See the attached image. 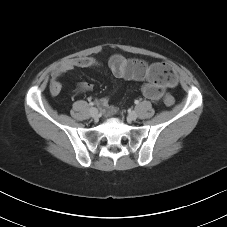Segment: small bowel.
I'll return each instance as SVG.
<instances>
[{"label": "small bowel", "mask_w": 227, "mask_h": 227, "mask_svg": "<svg viewBox=\"0 0 227 227\" xmlns=\"http://www.w3.org/2000/svg\"><path fill=\"white\" fill-rule=\"evenodd\" d=\"M99 65L100 63L95 58L88 56L76 57L61 64L51 73V93L53 95L59 94L61 90L60 78L65 73L76 68H93ZM108 67L115 78L142 82V94L152 101H159L164 90L173 85L161 80L151 64H147L139 59L114 55L110 58ZM77 89L79 92H86L92 89V85L89 83H80ZM98 104L109 114L115 111L113 107L109 106L107 98L100 99Z\"/></svg>", "instance_id": "obj_1"}]
</instances>
